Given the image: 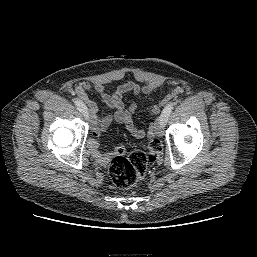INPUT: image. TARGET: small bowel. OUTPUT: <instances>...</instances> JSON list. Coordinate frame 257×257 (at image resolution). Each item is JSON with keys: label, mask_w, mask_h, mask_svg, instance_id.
I'll return each mask as SVG.
<instances>
[{"label": "small bowel", "mask_w": 257, "mask_h": 257, "mask_svg": "<svg viewBox=\"0 0 257 257\" xmlns=\"http://www.w3.org/2000/svg\"><path fill=\"white\" fill-rule=\"evenodd\" d=\"M161 84L162 83L159 80L150 81L145 85H140L131 80H125L112 89H108L100 83L95 84L93 86L94 90L101 97L107 107L112 110V113L102 117L97 116L98 105L88 96V92L91 89V85L89 83L80 82L79 84H77L75 87V93L78 96L79 100H81V102H83L84 105L88 107L89 111L94 116V124L101 131L105 130L113 121H115L117 123L123 124L128 132L136 139H143L146 136H148L149 138H155L156 124L154 123L151 126V129L147 134L144 130L138 128L133 120V114L137 110V105L131 104L129 107H126L123 101V96L127 93H132L135 95L141 93L147 94L160 87ZM180 92V87L172 86L170 90L166 93L164 98L152 108L153 114L156 115L161 107L166 104V102L177 96Z\"/></svg>", "instance_id": "c3829d8e"}]
</instances>
